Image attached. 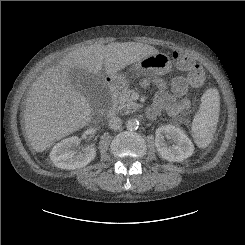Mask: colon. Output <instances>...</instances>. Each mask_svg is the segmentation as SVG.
<instances>
[{
    "label": "colon",
    "mask_w": 245,
    "mask_h": 245,
    "mask_svg": "<svg viewBox=\"0 0 245 245\" xmlns=\"http://www.w3.org/2000/svg\"><path fill=\"white\" fill-rule=\"evenodd\" d=\"M173 58L178 69L188 72L190 87L197 88L206 82V73L203 67L196 63L190 54L175 51Z\"/></svg>",
    "instance_id": "colon-1"
}]
</instances>
